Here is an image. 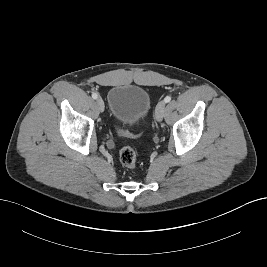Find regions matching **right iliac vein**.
<instances>
[{
	"label": "right iliac vein",
	"mask_w": 267,
	"mask_h": 267,
	"mask_svg": "<svg viewBox=\"0 0 267 267\" xmlns=\"http://www.w3.org/2000/svg\"><path fill=\"white\" fill-rule=\"evenodd\" d=\"M96 103H97V107H98L99 111L103 112L104 111L103 100L101 98H97Z\"/></svg>",
	"instance_id": "obj_1"
}]
</instances>
